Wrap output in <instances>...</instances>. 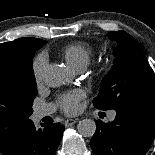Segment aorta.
Returning a JSON list of instances; mask_svg holds the SVG:
<instances>
[{
  "instance_id": "1",
  "label": "aorta",
  "mask_w": 155,
  "mask_h": 155,
  "mask_svg": "<svg viewBox=\"0 0 155 155\" xmlns=\"http://www.w3.org/2000/svg\"><path fill=\"white\" fill-rule=\"evenodd\" d=\"M69 79V71L63 64H51L44 70L43 80L49 87H59ZM78 131L84 137H92L96 132V124L92 119H83L78 123Z\"/></svg>"
}]
</instances>
